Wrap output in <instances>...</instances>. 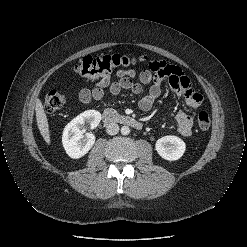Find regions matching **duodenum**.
<instances>
[{"label":"duodenum","mask_w":247,"mask_h":247,"mask_svg":"<svg viewBox=\"0 0 247 247\" xmlns=\"http://www.w3.org/2000/svg\"><path fill=\"white\" fill-rule=\"evenodd\" d=\"M102 120L106 124L120 123L137 130H141L143 128V124L139 120L130 116L120 115L112 109H105L103 111Z\"/></svg>","instance_id":"duodenum-1"}]
</instances>
